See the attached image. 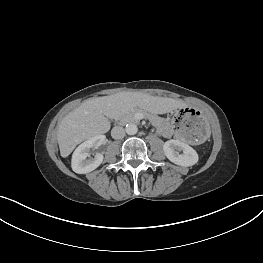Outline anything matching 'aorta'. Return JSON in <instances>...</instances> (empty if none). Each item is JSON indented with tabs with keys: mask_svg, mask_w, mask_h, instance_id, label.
<instances>
[{
	"mask_svg": "<svg viewBox=\"0 0 263 263\" xmlns=\"http://www.w3.org/2000/svg\"><path fill=\"white\" fill-rule=\"evenodd\" d=\"M125 131L128 135H135L138 131L137 125L134 123H129L125 127Z\"/></svg>",
	"mask_w": 263,
	"mask_h": 263,
	"instance_id": "obj_1",
	"label": "aorta"
}]
</instances>
